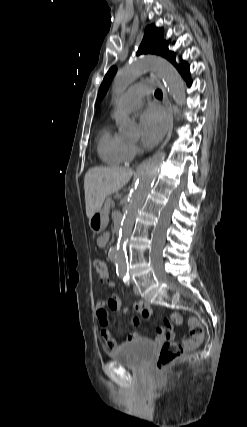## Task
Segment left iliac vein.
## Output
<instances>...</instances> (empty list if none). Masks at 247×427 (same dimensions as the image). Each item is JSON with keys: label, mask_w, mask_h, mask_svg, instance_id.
<instances>
[{"label": "left iliac vein", "mask_w": 247, "mask_h": 427, "mask_svg": "<svg viewBox=\"0 0 247 427\" xmlns=\"http://www.w3.org/2000/svg\"><path fill=\"white\" fill-rule=\"evenodd\" d=\"M133 291H134V293H135L136 295H139V294H140L139 288H138V286H137V285H135V284H133Z\"/></svg>", "instance_id": "left-iliac-vein-1"}]
</instances>
